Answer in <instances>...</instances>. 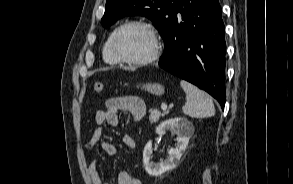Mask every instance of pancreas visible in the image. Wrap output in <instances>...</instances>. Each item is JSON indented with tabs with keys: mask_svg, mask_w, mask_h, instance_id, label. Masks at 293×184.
<instances>
[{
	"mask_svg": "<svg viewBox=\"0 0 293 184\" xmlns=\"http://www.w3.org/2000/svg\"><path fill=\"white\" fill-rule=\"evenodd\" d=\"M149 112H150L149 122L151 124L156 123L161 116L165 115V114H161V112L158 109H150Z\"/></svg>",
	"mask_w": 293,
	"mask_h": 184,
	"instance_id": "obj_1",
	"label": "pancreas"
}]
</instances>
